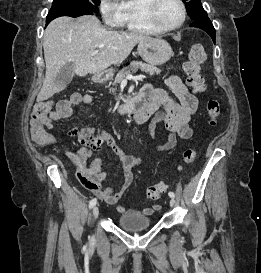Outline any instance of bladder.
I'll return each mask as SVG.
<instances>
[{
  "mask_svg": "<svg viewBox=\"0 0 261 273\" xmlns=\"http://www.w3.org/2000/svg\"><path fill=\"white\" fill-rule=\"evenodd\" d=\"M119 227L128 231H143L152 225V219L141 211L129 210L118 217Z\"/></svg>",
  "mask_w": 261,
  "mask_h": 273,
  "instance_id": "1",
  "label": "bladder"
}]
</instances>
